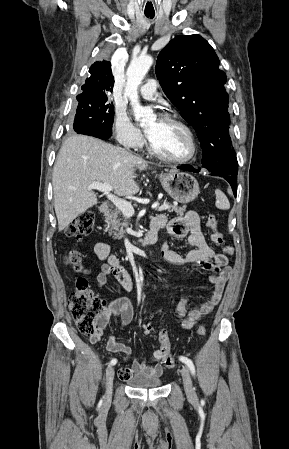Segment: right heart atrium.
Instances as JSON below:
<instances>
[{"instance_id":"obj_1","label":"right heart atrium","mask_w":289,"mask_h":449,"mask_svg":"<svg viewBox=\"0 0 289 449\" xmlns=\"http://www.w3.org/2000/svg\"><path fill=\"white\" fill-rule=\"evenodd\" d=\"M114 133L117 142L125 148L139 149L144 143L141 131L122 110H117L115 113Z\"/></svg>"}]
</instances>
